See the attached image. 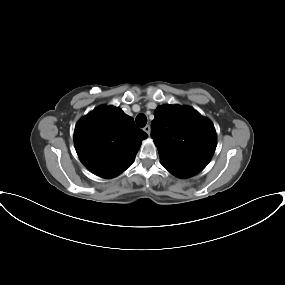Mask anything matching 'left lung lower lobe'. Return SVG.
Listing matches in <instances>:
<instances>
[{"instance_id": "0a47b994", "label": "left lung lower lobe", "mask_w": 285, "mask_h": 285, "mask_svg": "<svg viewBox=\"0 0 285 285\" xmlns=\"http://www.w3.org/2000/svg\"><path fill=\"white\" fill-rule=\"evenodd\" d=\"M162 165L173 175L179 177V178H188L191 177L195 174H197L198 172L192 170V169H188V168H182V167H176V166H172V165H167L162 163Z\"/></svg>"}]
</instances>
